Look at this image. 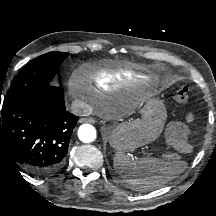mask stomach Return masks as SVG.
<instances>
[{"mask_svg":"<svg viewBox=\"0 0 216 216\" xmlns=\"http://www.w3.org/2000/svg\"><path fill=\"white\" fill-rule=\"evenodd\" d=\"M167 113L163 101L147 98L141 108V119L116 125L109 135L110 145L121 152L153 142L161 134Z\"/></svg>","mask_w":216,"mask_h":216,"instance_id":"stomach-1","label":"stomach"}]
</instances>
